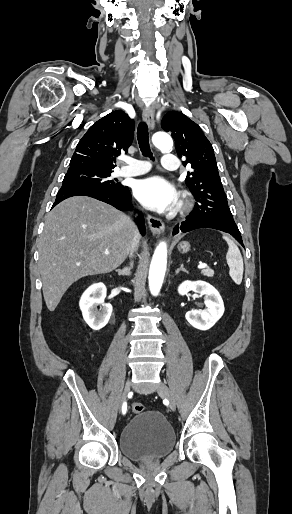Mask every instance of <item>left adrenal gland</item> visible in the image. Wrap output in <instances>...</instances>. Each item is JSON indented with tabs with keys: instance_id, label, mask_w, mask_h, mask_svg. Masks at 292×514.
<instances>
[{
	"instance_id": "left-adrenal-gland-1",
	"label": "left adrenal gland",
	"mask_w": 292,
	"mask_h": 514,
	"mask_svg": "<svg viewBox=\"0 0 292 514\" xmlns=\"http://www.w3.org/2000/svg\"><path fill=\"white\" fill-rule=\"evenodd\" d=\"M179 272H186V274H188L187 270L184 268V264H180V268H177L176 274H179Z\"/></svg>"
}]
</instances>
